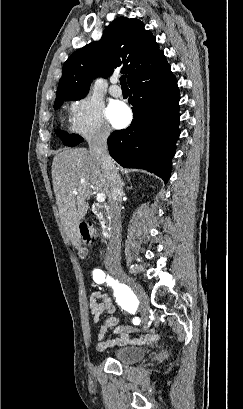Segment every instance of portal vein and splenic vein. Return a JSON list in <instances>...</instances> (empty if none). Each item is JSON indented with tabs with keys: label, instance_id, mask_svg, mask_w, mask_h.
<instances>
[{
	"label": "portal vein and splenic vein",
	"instance_id": "1",
	"mask_svg": "<svg viewBox=\"0 0 243 409\" xmlns=\"http://www.w3.org/2000/svg\"><path fill=\"white\" fill-rule=\"evenodd\" d=\"M74 194H77V192L74 191ZM105 199H106V196H105L104 193H97V195H96V200H97L98 202H104Z\"/></svg>",
	"mask_w": 243,
	"mask_h": 409
}]
</instances>
